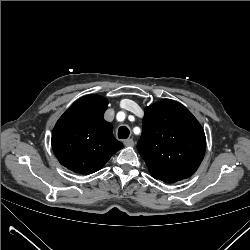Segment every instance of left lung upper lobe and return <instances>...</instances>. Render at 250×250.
<instances>
[{
    "label": "left lung upper lobe",
    "instance_id": "left-lung-upper-lobe-1",
    "mask_svg": "<svg viewBox=\"0 0 250 250\" xmlns=\"http://www.w3.org/2000/svg\"><path fill=\"white\" fill-rule=\"evenodd\" d=\"M205 133L182 104L163 99L145 108L137 150L155 179L166 183L189 178L203 160Z\"/></svg>",
    "mask_w": 250,
    "mask_h": 250
}]
</instances>
